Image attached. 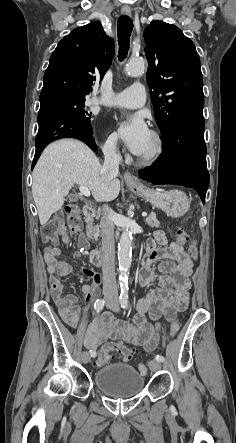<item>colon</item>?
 <instances>
[{
	"label": "colon",
	"mask_w": 236,
	"mask_h": 443,
	"mask_svg": "<svg viewBox=\"0 0 236 443\" xmlns=\"http://www.w3.org/2000/svg\"><path fill=\"white\" fill-rule=\"evenodd\" d=\"M66 213V225L69 227L72 233L79 232L82 220H81V209L78 205H68L65 210ZM65 223L63 220L56 218L50 221L44 226L42 230L43 240L46 243L56 244L59 239L65 235ZM176 243L179 245H184L190 243L189 254L195 259L197 257V249L194 242H190V238L186 230L182 227L178 228L175 232ZM180 331V325L178 322H173L170 325V338L175 340ZM132 357V350L126 346H121L118 344H107L101 348L99 351L96 365L105 366L113 361L127 362ZM138 370L141 374L145 375L147 373V367L145 363H140L138 365Z\"/></svg>",
	"instance_id": "5ec220e1"
}]
</instances>
